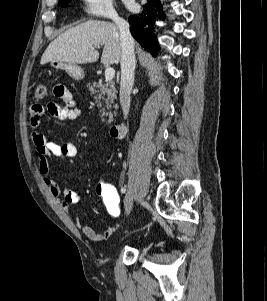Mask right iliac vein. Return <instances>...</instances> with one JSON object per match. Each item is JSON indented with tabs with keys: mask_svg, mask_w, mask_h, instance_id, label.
I'll use <instances>...</instances> for the list:
<instances>
[{
	"mask_svg": "<svg viewBox=\"0 0 267 301\" xmlns=\"http://www.w3.org/2000/svg\"><path fill=\"white\" fill-rule=\"evenodd\" d=\"M133 199H134V195L132 190H128L126 197H125V211L126 214L129 215V213L131 212L132 209V205H133ZM144 204V202H143Z\"/></svg>",
	"mask_w": 267,
	"mask_h": 301,
	"instance_id": "obj_1",
	"label": "right iliac vein"
}]
</instances>
